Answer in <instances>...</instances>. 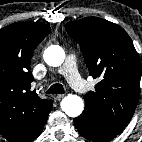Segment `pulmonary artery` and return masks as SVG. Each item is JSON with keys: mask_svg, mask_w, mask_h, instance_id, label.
Segmentation results:
<instances>
[{"mask_svg": "<svg viewBox=\"0 0 142 142\" xmlns=\"http://www.w3.org/2000/svg\"><path fill=\"white\" fill-rule=\"evenodd\" d=\"M59 73L67 79L75 90L79 92H85L87 90L88 86L77 70L76 57L74 54H69L66 57L64 64L59 69Z\"/></svg>", "mask_w": 142, "mask_h": 142, "instance_id": "1", "label": "pulmonary artery"}]
</instances>
